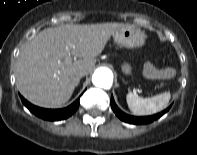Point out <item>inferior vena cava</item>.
I'll return each mask as SVG.
<instances>
[{
    "instance_id": "obj_1",
    "label": "inferior vena cava",
    "mask_w": 197,
    "mask_h": 155,
    "mask_svg": "<svg viewBox=\"0 0 197 155\" xmlns=\"http://www.w3.org/2000/svg\"><path fill=\"white\" fill-rule=\"evenodd\" d=\"M77 74H78L79 77H82V76L87 74V71L85 69H81V70L78 71Z\"/></svg>"
}]
</instances>
